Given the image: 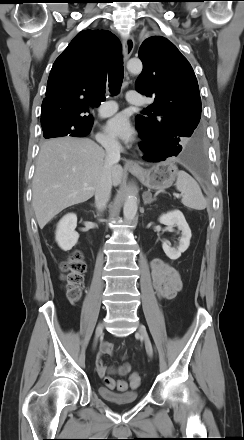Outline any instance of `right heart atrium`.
Masks as SVG:
<instances>
[{
  "label": "right heart atrium",
  "mask_w": 244,
  "mask_h": 440,
  "mask_svg": "<svg viewBox=\"0 0 244 440\" xmlns=\"http://www.w3.org/2000/svg\"><path fill=\"white\" fill-rule=\"evenodd\" d=\"M97 140L101 145L106 147H113L117 145V142L105 133H99L97 135Z\"/></svg>",
  "instance_id": "d8ad5b80"
}]
</instances>
